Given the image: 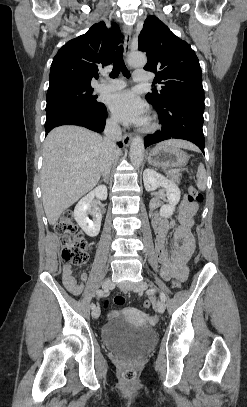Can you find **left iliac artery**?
Returning a JSON list of instances; mask_svg holds the SVG:
<instances>
[{
    "label": "left iliac artery",
    "instance_id": "1",
    "mask_svg": "<svg viewBox=\"0 0 247 407\" xmlns=\"http://www.w3.org/2000/svg\"><path fill=\"white\" fill-rule=\"evenodd\" d=\"M155 291V289H149L148 291H147V294H151V293H153ZM160 298H161V300L164 302L165 300H166V296H165V294L163 293V292H160Z\"/></svg>",
    "mask_w": 247,
    "mask_h": 407
}]
</instances>
